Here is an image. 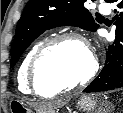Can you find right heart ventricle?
<instances>
[{
	"label": "right heart ventricle",
	"mask_w": 123,
	"mask_h": 113,
	"mask_svg": "<svg viewBox=\"0 0 123 113\" xmlns=\"http://www.w3.org/2000/svg\"><path fill=\"white\" fill-rule=\"evenodd\" d=\"M42 44V42H38L36 43L35 45H33L31 47V49L27 52V54L25 55V57L23 58L19 68H18V71H17V76H16V79H17V84H18V87L21 91H25V90H28L30 89L32 92L38 94V95H41L43 97H50V96H53L57 93H37L29 84V81H28V67H29V64H30V61H31V58L33 56V54L35 53L36 49Z\"/></svg>",
	"instance_id": "right-heart-ventricle-1"
}]
</instances>
